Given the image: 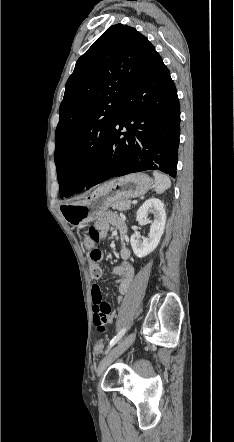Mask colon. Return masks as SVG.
<instances>
[{
  "instance_id": "obj_1",
  "label": "colon",
  "mask_w": 234,
  "mask_h": 442,
  "mask_svg": "<svg viewBox=\"0 0 234 442\" xmlns=\"http://www.w3.org/2000/svg\"><path fill=\"white\" fill-rule=\"evenodd\" d=\"M99 240L98 231L95 227H89L86 230V235L84 238V244L87 250L89 251L90 259L92 261L90 265V274L92 278L98 279L101 277L102 270L99 266V259L101 256V252L96 248L95 244ZM92 301H93V314H107L111 307L110 305L103 300L102 293L100 289L94 287L92 290ZM99 330V328H97ZM94 354L97 357L102 356L103 354V341L97 340L96 345L94 347Z\"/></svg>"
}]
</instances>
